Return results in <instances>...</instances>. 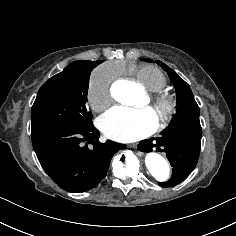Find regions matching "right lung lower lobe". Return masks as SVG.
Listing matches in <instances>:
<instances>
[{
  "instance_id": "1",
  "label": "right lung lower lobe",
  "mask_w": 236,
  "mask_h": 236,
  "mask_svg": "<svg viewBox=\"0 0 236 236\" xmlns=\"http://www.w3.org/2000/svg\"><path fill=\"white\" fill-rule=\"evenodd\" d=\"M31 136L45 172L62 189L74 193L94 188L106 176L112 156L126 148L111 140L100 143L92 122L80 127L51 126L32 131Z\"/></svg>"
}]
</instances>
